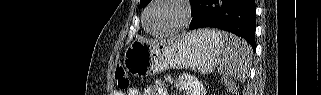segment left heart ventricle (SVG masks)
Masks as SVG:
<instances>
[{
  "label": "left heart ventricle",
  "mask_w": 321,
  "mask_h": 95,
  "mask_svg": "<svg viewBox=\"0 0 321 95\" xmlns=\"http://www.w3.org/2000/svg\"><path fill=\"white\" fill-rule=\"evenodd\" d=\"M182 20V8L173 1L162 0L149 11L147 26L151 31L161 33L177 27Z\"/></svg>",
  "instance_id": "obj_1"
}]
</instances>
